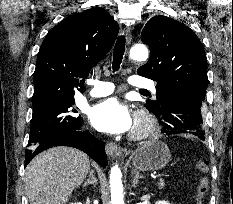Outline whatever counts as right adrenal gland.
Instances as JSON below:
<instances>
[{"instance_id": "2a0ac1e0", "label": "right adrenal gland", "mask_w": 233, "mask_h": 204, "mask_svg": "<svg viewBox=\"0 0 233 204\" xmlns=\"http://www.w3.org/2000/svg\"><path fill=\"white\" fill-rule=\"evenodd\" d=\"M89 184L94 185V187L97 185V179H96V177H95V175H94V171H93V170L90 171L89 178H88L87 181L83 184V186L85 187V186H87V185H89Z\"/></svg>"}]
</instances>
